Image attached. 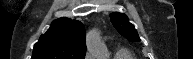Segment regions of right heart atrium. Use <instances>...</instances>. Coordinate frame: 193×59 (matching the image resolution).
Wrapping results in <instances>:
<instances>
[{
    "mask_svg": "<svg viewBox=\"0 0 193 59\" xmlns=\"http://www.w3.org/2000/svg\"><path fill=\"white\" fill-rule=\"evenodd\" d=\"M86 59H90V54H86Z\"/></svg>",
    "mask_w": 193,
    "mask_h": 59,
    "instance_id": "d8ad5b80",
    "label": "right heart atrium"
}]
</instances>
